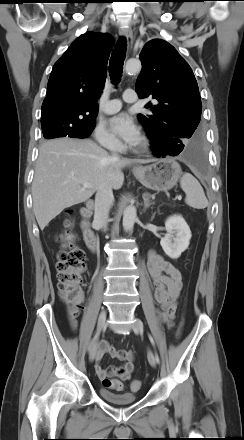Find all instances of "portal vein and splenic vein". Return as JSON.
Instances as JSON below:
<instances>
[{"mask_svg":"<svg viewBox=\"0 0 244 440\" xmlns=\"http://www.w3.org/2000/svg\"><path fill=\"white\" fill-rule=\"evenodd\" d=\"M84 188H90L91 185L88 182H81ZM179 200H181V196L178 197Z\"/></svg>","mask_w":244,"mask_h":440,"instance_id":"1","label":"portal vein and splenic vein"}]
</instances>
